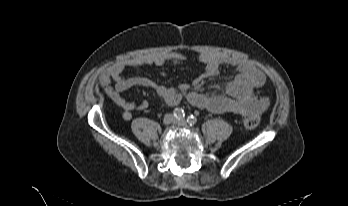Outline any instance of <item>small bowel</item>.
I'll use <instances>...</instances> for the list:
<instances>
[{
    "mask_svg": "<svg viewBox=\"0 0 348 206\" xmlns=\"http://www.w3.org/2000/svg\"><path fill=\"white\" fill-rule=\"evenodd\" d=\"M184 59L185 55L180 52L140 54L117 62L103 71L99 77V85L105 95L121 108L122 118L126 121L132 118V111L148 107L146 100L133 102L121 95L134 86L156 90L166 105L171 107L178 105L182 98H186L195 107L213 113L231 112L244 117L258 115L268 108V99L258 95V89L265 83L264 74L255 65L239 57L221 56L210 52H202L199 55V61L205 65V71L193 81V87H197L201 80L217 75L222 65L228 64L237 69L236 77L228 81L223 93L218 95L200 93L189 84L171 88L146 77L123 76L127 67L140 68L163 65L167 62L179 65Z\"/></svg>",
    "mask_w": 348,
    "mask_h": 206,
    "instance_id": "obj_1",
    "label": "small bowel"
}]
</instances>
